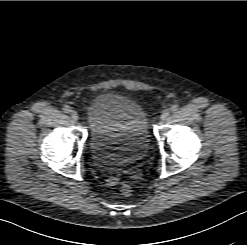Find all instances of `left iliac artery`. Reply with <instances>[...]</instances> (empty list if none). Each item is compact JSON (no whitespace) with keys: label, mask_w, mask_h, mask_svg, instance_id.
Listing matches in <instances>:
<instances>
[{"label":"left iliac artery","mask_w":247,"mask_h":245,"mask_svg":"<svg viewBox=\"0 0 247 245\" xmlns=\"http://www.w3.org/2000/svg\"><path fill=\"white\" fill-rule=\"evenodd\" d=\"M170 110L171 112H176L178 110V105L177 104H173L171 107H170Z\"/></svg>","instance_id":"obj_1"}]
</instances>
